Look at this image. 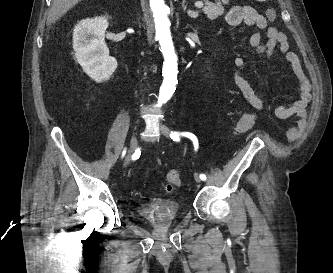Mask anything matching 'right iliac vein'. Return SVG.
<instances>
[{
    "mask_svg": "<svg viewBox=\"0 0 333 273\" xmlns=\"http://www.w3.org/2000/svg\"><path fill=\"white\" fill-rule=\"evenodd\" d=\"M137 145H138V142H137L136 135L133 134L131 137V140H130L129 150H128L127 156L125 158V161H124V167H126L129 164L131 156H132L133 152L136 150Z\"/></svg>",
    "mask_w": 333,
    "mask_h": 273,
    "instance_id": "1",
    "label": "right iliac vein"
}]
</instances>
